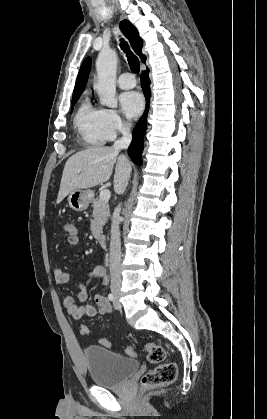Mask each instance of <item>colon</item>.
<instances>
[{
    "mask_svg": "<svg viewBox=\"0 0 267 419\" xmlns=\"http://www.w3.org/2000/svg\"><path fill=\"white\" fill-rule=\"evenodd\" d=\"M64 230L67 235V242L71 246H75L79 243L78 227L74 222H66L64 224ZM89 328L86 325L80 326V334L87 335ZM101 345L109 348L110 341L107 338H102L100 341ZM144 350L147 353V359L150 363L156 364L151 371L147 372L141 380L144 388H158L169 385L176 380L177 377V366L173 362L167 360V353L165 349L155 343H146ZM127 353L130 356H136V352L132 347L127 348Z\"/></svg>",
    "mask_w": 267,
    "mask_h": 419,
    "instance_id": "colon-1",
    "label": "colon"
}]
</instances>
